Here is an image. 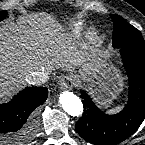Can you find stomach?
Listing matches in <instances>:
<instances>
[{
	"instance_id": "stomach-1",
	"label": "stomach",
	"mask_w": 145,
	"mask_h": 145,
	"mask_svg": "<svg viewBox=\"0 0 145 145\" xmlns=\"http://www.w3.org/2000/svg\"><path fill=\"white\" fill-rule=\"evenodd\" d=\"M83 70L93 69L99 72L96 91L98 97L104 102L109 103L119 93L121 84L119 79L108 68H103L100 59L95 56L83 57L81 61ZM85 78V77H84Z\"/></svg>"
}]
</instances>
